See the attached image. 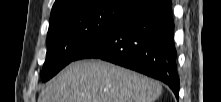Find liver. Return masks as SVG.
<instances>
[{
    "label": "liver",
    "instance_id": "obj_1",
    "mask_svg": "<svg viewBox=\"0 0 221 102\" xmlns=\"http://www.w3.org/2000/svg\"><path fill=\"white\" fill-rule=\"evenodd\" d=\"M162 86L102 60L71 63L44 88L38 102H154Z\"/></svg>",
    "mask_w": 221,
    "mask_h": 102
}]
</instances>
